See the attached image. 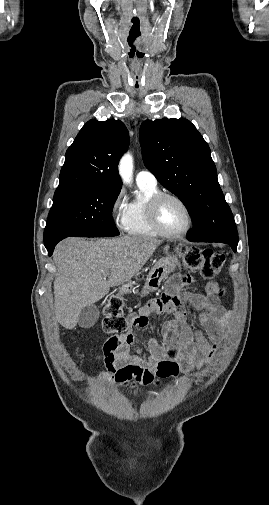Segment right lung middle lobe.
Instances as JSON below:
<instances>
[{"instance_id": "right-lung-middle-lobe-1", "label": "right lung middle lobe", "mask_w": 269, "mask_h": 505, "mask_svg": "<svg viewBox=\"0 0 269 505\" xmlns=\"http://www.w3.org/2000/svg\"><path fill=\"white\" fill-rule=\"evenodd\" d=\"M118 188L66 186L57 188L49 212L44 242L59 238L119 235L112 217Z\"/></svg>"}]
</instances>
